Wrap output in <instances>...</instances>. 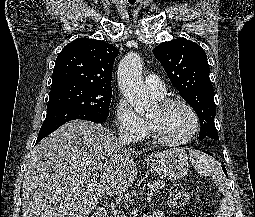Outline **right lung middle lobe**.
Instances as JSON below:
<instances>
[{
	"mask_svg": "<svg viewBox=\"0 0 255 217\" xmlns=\"http://www.w3.org/2000/svg\"><path fill=\"white\" fill-rule=\"evenodd\" d=\"M112 89H102L78 84L51 87L47 110L69 108L88 112L102 119L109 115Z\"/></svg>",
	"mask_w": 255,
	"mask_h": 217,
	"instance_id": "obj_1",
	"label": "right lung middle lobe"
}]
</instances>
